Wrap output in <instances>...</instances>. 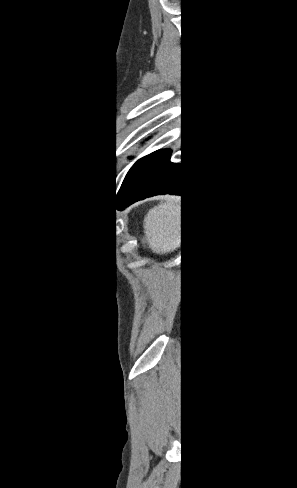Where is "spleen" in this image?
Wrapping results in <instances>:
<instances>
[{
    "label": "spleen",
    "mask_w": 297,
    "mask_h": 488,
    "mask_svg": "<svg viewBox=\"0 0 297 488\" xmlns=\"http://www.w3.org/2000/svg\"><path fill=\"white\" fill-rule=\"evenodd\" d=\"M175 205V201L162 203L145 218L146 242L154 252H168L174 245Z\"/></svg>",
    "instance_id": "3e777b00"
}]
</instances>
